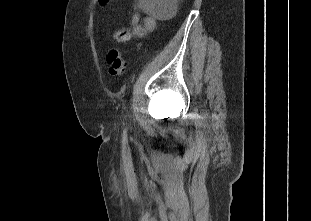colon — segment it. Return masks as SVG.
Segmentation results:
<instances>
[{
    "label": "colon",
    "mask_w": 311,
    "mask_h": 221,
    "mask_svg": "<svg viewBox=\"0 0 311 221\" xmlns=\"http://www.w3.org/2000/svg\"><path fill=\"white\" fill-rule=\"evenodd\" d=\"M104 4H108V0H97V8L103 9ZM127 30L123 29L115 33V39L118 41H127ZM108 72L111 76H121L126 71V64L120 53L116 50H111L107 58Z\"/></svg>",
    "instance_id": "colon-1"
}]
</instances>
